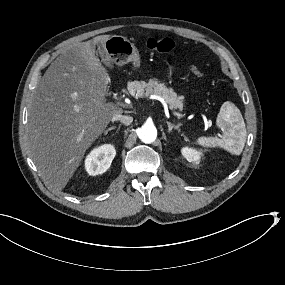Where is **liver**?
I'll return each mask as SVG.
<instances>
[{"mask_svg": "<svg viewBox=\"0 0 285 285\" xmlns=\"http://www.w3.org/2000/svg\"><path fill=\"white\" fill-rule=\"evenodd\" d=\"M107 36L77 43L62 53L38 83L28 114L27 148L52 189L62 191L114 114L108 100L109 74L96 55ZM102 60L110 61L106 51Z\"/></svg>", "mask_w": 285, "mask_h": 285, "instance_id": "1", "label": "liver"}]
</instances>
